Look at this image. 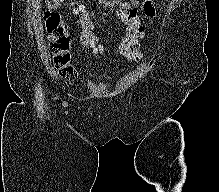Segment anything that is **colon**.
Masks as SVG:
<instances>
[{
	"label": "colon",
	"instance_id": "1",
	"mask_svg": "<svg viewBox=\"0 0 219 192\" xmlns=\"http://www.w3.org/2000/svg\"><path fill=\"white\" fill-rule=\"evenodd\" d=\"M44 22L50 40L54 65L59 75L66 80L74 79L77 75V71L72 63V38L67 24L61 15L53 10L45 11ZM85 26L89 29L92 27V24L86 22ZM138 39L136 34L126 35L120 43V53L130 60L138 61L141 57Z\"/></svg>",
	"mask_w": 219,
	"mask_h": 192
}]
</instances>
